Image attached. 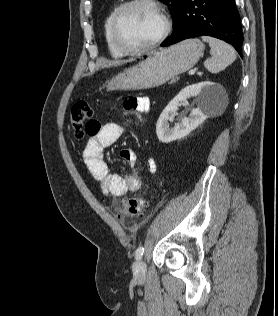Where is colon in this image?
Here are the masks:
<instances>
[{
  "label": "colon",
  "instance_id": "1",
  "mask_svg": "<svg viewBox=\"0 0 278 316\" xmlns=\"http://www.w3.org/2000/svg\"><path fill=\"white\" fill-rule=\"evenodd\" d=\"M92 107L83 100L76 101L70 110V122L77 140H82L86 134L94 135L99 129V123L92 120ZM146 197H133L123 203V213L130 219H136L143 215L148 206Z\"/></svg>",
  "mask_w": 278,
  "mask_h": 316
}]
</instances>
